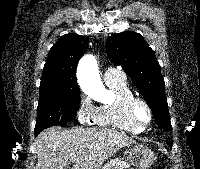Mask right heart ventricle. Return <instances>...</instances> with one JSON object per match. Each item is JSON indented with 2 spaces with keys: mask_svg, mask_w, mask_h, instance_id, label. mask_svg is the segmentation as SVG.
<instances>
[{
  "mask_svg": "<svg viewBox=\"0 0 200 169\" xmlns=\"http://www.w3.org/2000/svg\"><path fill=\"white\" fill-rule=\"evenodd\" d=\"M114 94V99L96 108L93 122L102 127L138 134L142 130L131 124L127 117L126 104L135 97L125 78L106 81Z\"/></svg>",
  "mask_w": 200,
  "mask_h": 169,
  "instance_id": "right-heart-ventricle-1",
  "label": "right heart ventricle"
}]
</instances>
